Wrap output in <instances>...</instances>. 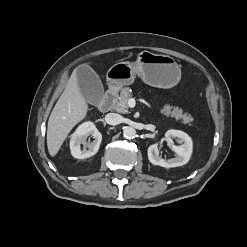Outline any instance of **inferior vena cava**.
Listing matches in <instances>:
<instances>
[{"label":"inferior vena cava","instance_id":"1","mask_svg":"<svg viewBox=\"0 0 247 247\" xmlns=\"http://www.w3.org/2000/svg\"><path fill=\"white\" fill-rule=\"evenodd\" d=\"M123 117L117 113H108L105 116V122L109 125H118L122 123Z\"/></svg>","mask_w":247,"mask_h":247}]
</instances>
